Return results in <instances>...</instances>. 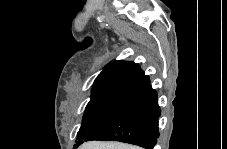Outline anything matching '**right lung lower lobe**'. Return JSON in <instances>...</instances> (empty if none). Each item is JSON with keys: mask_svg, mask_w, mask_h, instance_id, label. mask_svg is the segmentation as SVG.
Masks as SVG:
<instances>
[{"mask_svg": "<svg viewBox=\"0 0 227 149\" xmlns=\"http://www.w3.org/2000/svg\"><path fill=\"white\" fill-rule=\"evenodd\" d=\"M160 115L157 92L149 82L139 89L117 116L92 131L85 141L112 140L153 149L159 137Z\"/></svg>", "mask_w": 227, "mask_h": 149, "instance_id": "right-lung-lower-lobe-1", "label": "right lung lower lobe"}]
</instances>
